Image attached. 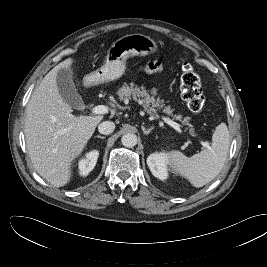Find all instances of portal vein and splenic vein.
Masks as SVG:
<instances>
[{"label":"portal vein and splenic vein","instance_id":"portal-vein-and-splenic-vein-1","mask_svg":"<svg viewBox=\"0 0 267 267\" xmlns=\"http://www.w3.org/2000/svg\"><path fill=\"white\" fill-rule=\"evenodd\" d=\"M91 112L93 114H106V113H108V107L105 105H98V106L93 107ZM161 118L163 119V121L165 123H167L168 125L173 127L176 131L181 132V125L180 124H178V123L174 122L173 120H171L167 117H164V116H162ZM200 143L206 148L210 147L208 142L200 141Z\"/></svg>","mask_w":267,"mask_h":267}]
</instances>
